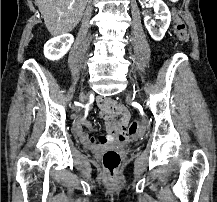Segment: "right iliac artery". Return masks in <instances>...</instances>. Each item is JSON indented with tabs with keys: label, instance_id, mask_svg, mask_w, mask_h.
<instances>
[{
	"label": "right iliac artery",
	"instance_id": "82829eb1",
	"mask_svg": "<svg viewBox=\"0 0 217 202\" xmlns=\"http://www.w3.org/2000/svg\"><path fill=\"white\" fill-rule=\"evenodd\" d=\"M90 107H91V106L88 104V105L86 106L85 110H84L85 112H84L83 114H84L86 117L89 115V112H90L89 109H90Z\"/></svg>",
	"mask_w": 217,
	"mask_h": 202
}]
</instances>
